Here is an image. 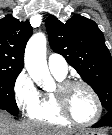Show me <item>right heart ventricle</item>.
<instances>
[{
	"instance_id": "e07e8e85",
	"label": "right heart ventricle",
	"mask_w": 112,
	"mask_h": 135,
	"mask_svg": "<svg viewBox=\"0 0 112 135\" xmlns=\"http://www.w3.org/2000/svg\"><path fill=\"white\" fill-rule=\"evenodd\" d=\"M54 77L59 82H62L65 79V77H60L57 75H54ZM28 116L33 120L53 125H65L69 122L59 112L52 92L40 93L37 106L28 112Z\"/></svg>"
}]
</instances>
